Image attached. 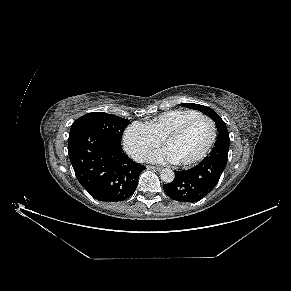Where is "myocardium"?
<instances>
[{
    "label": "myocardium",
    "mask_w": 291,
    "mask_h": 291,
    "mask_svg": "<svg viewBox=\"0 0 291 291\" xmlns=\"http://www.w3.org/2000/svg\"><path fill=\"white\" fill-rule=\"evenodd\" d=\"M201 120H204V121L208 122L210 127H211V136H210L208 144L200 152V154H198L196 157H194V158H192L190 160H187V161H176V164H178L180 166H184V167H189V166L195 165V164L199 163L201 160H203L207 156V154L210 152V150L212 149V147H213V145H214V143L216 141V137H217L216 124L210 117L205 116V115H200V116L194 117V118L189 119L188 121L184 122L183 124L178 126L176 129H174L171 132H169L163 138L162 143L164 145H166L169 141L180 137L193 124H195L196 122L201 121Z\"/></svg>",
    "instance_id": "1"
}]
</instances>
